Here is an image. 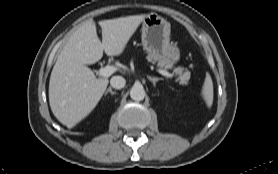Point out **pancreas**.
Segmentation results:
<instances>
[{
  "instance_id": "cf45deb5",
  "label": "pancreas",
  "mask_w": 278,
  "mask_h": 174,
  "mask_svg": "<svg viewBox=\"0 0 278 174\" xmlns=\"http://www.w3.org/2000/svg\"><path fill=\"white\" fill-rule=\"evenodd\" d=\"M149 61H155V59H153L152 57H148ZM158 66H160L161 68H165V69H169L172 67V65L170 63L164 62V61H159L158 62ZM183 68L179 67V68H175L174 72L176 74H179V79H180V83L181 84H187L188 80L190 79V72L185 71L183 72Z\"/></svg>"
}]
</instances>
